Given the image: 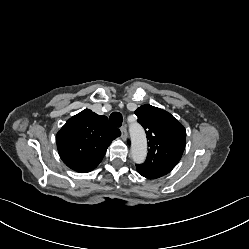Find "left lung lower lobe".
Here are the masks:
<instances>
[{"mask_svg": "<svg viewBox=\"0 0 249 249\" xmlns=\"http://www.w3.org/2000/svg\"><path fill=\"white\" fill-rule=\"evenodd\" d=\"M137 171H138V173H139L140 175H142V176H144V177H146V178H148V179H155V177L150 176V175H147V174L141 172L139 169H137Z\"/></svg>", "mask_w": 249, "mask_h": 249, "instance_id": "left-lung-lower-lobe-1", "label": "left lung lower lobe"}]
</instances>
